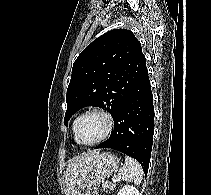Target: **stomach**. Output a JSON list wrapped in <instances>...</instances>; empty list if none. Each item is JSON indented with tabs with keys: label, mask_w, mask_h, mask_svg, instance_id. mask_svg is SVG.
I'll use <instances>...</instances> for the list:
<instances>
[{
	"label": "stomach",
	"mask_w": 211,
	"mask_h": 195,
	"mask_svg": "<svg viewBox=\"0 0 211 195\" xmlns=\"http://www.w3.org/2000/svg\"><path fill=\"white\" fill-rule=\"evenodd\" d=\"M119 159L110 152H103L90 163V169L86 176L84 186H96L118 170ZM82 195H91L85 193Z\"/></svg>",
	"instance_id": "stomach-1"
}]
</instances>
